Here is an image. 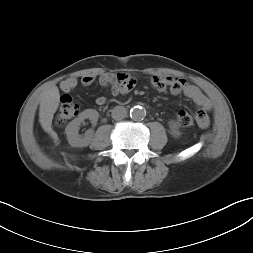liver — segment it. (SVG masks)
Returning a JSON list of instances; mask_svg holds the SVG:
<instances>
[{
	"mask_svg": "<svg viewBox=\"0 0 253 253\" xmlns=\"http://www.w3.org/2000/svg\"><path fill=\"white\" fill-rule=\"evenodd\" d=\"M59 98V89L56 86H51L41 93L39 107V122L43 130L57 144L59 143V138L57 133L52 129V120L59 106Z\"/></svg>",
	"mask_w": 253,
	"mask_h": 253,
	"instance_id": "6515ba94",
	"label": "liver"
}]
</instances>
